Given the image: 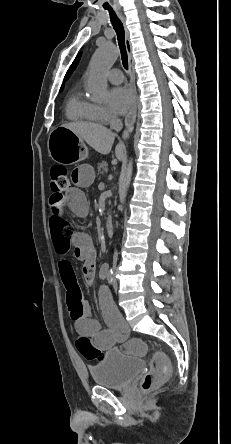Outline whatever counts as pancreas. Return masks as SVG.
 <instances>
[{"mask_svg":"<svg viewBox=\"0 0 231 444\" xmlns=\"http://www.w3.org/2000/svg\"><path fill=\"white\" fill-rule=\"evenodd\" d=\"M107 167H108V164L106 163V162H101V163H99L98 164V174L99 175H103V174H105L106 172H107Z\"/></svg>","mask_w":231,"mask_h":444,"instance_id":"obj_1","label":"pancreas"}]
</instances>
